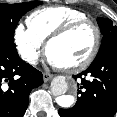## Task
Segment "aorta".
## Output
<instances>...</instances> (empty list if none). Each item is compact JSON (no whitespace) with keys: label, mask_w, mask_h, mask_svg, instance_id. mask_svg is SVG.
<instances>
[{"label":"aorta","mask_w":117,"mask_h":117,"mask_svg":"<svg viewBox=\"0 0 117 117\" xmlns=\"http://www.w3.org/2000/svg\"><path fill=\"white\" fill-rule=\"evenodd\" d=\"M69 89V83L62 77H56L51 83V91L56 96V102L62 108H69L74 104V96L65 95Z\"/></svg>","instance_id":"762f6f07"}]
</instances>
